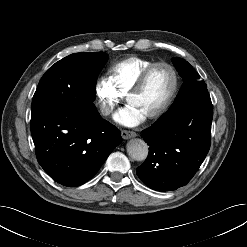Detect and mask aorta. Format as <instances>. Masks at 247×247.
Here are the masks:
<instances>
[{
  "label": "aorta",
  "mask_w": 247,
  "mask_h": 247,
  "mask_svg": "<svg viewBox=\"0 0 247 247\" xmlns=\"http://www.w3.org/2000/svg\"><path fill=\"white\" fill-rule=\"evenodd\" d=\"M129 156L136 161H143L148 156V145L142 139H131L127 143Z\"/></svg>",
  "instance_id": "762f6f07"
}]
</instances>
